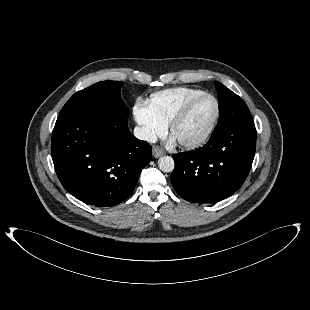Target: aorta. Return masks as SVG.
<instances>
[{
    "mask_svg": "<svg viewBox=\"0 0 310 310\" xmlns=\"http://www.w3.org/2000/svg\"><path fill=\"white\" fill-rule=\"evenodd\" d=\"M174 160L170 156H162L158 160V167L161 171L169 173L174 169Z\"/></svg>",
    "mask_w": 310,
    "mask_h": 310,
    "instance_id": "obj_1",
    "label": "aorta"
}]
</instances>
